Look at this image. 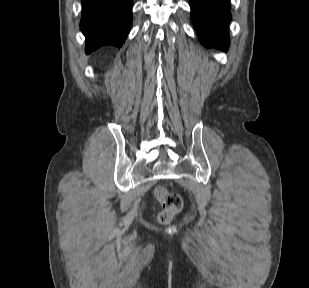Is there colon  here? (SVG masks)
I'll list each match as a JSON object with an SVG mask.
<instances>
[{
    "label": "colon",
    "mask_w": 309,
    "mask_h": 288,
    "mask_svg": "<svg viewBox=\"0 0 309 288\" xmlns=\"http://www.w3.org/2000/svg\"><path fill=\"white\" fill-rule=\"evenodd\" d=\"M155 198L163 206V210L158 215V220L162 224L169 223L183 206V199L180 194L168 191L163 186H156L154 189Z\"/></svg>",
    "instance_id": "colon-1"
}]
</instances>
